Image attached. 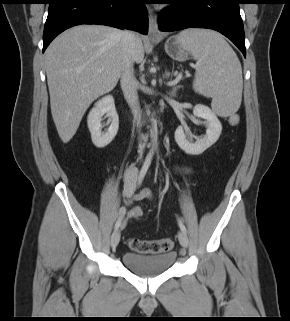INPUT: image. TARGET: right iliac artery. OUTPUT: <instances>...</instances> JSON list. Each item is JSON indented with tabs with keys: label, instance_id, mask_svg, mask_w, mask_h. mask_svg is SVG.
Instances as JSON below:
<instances>
[{
	"label": "right iliac artery",
	"instance_id": "1",
	"mask_svg": "<svg viewBox=\"0 0 290 321\" xmlns=\"http://www.w3.org/2000/svg\"><path fill=\"white\" fill-rule=\"evenodd\" d=\"M152 156L153 154L152 153H149L147 156H146V159L142 165V168L137 176V179H136V183L137 184H140L142 182V180L144 179L149 167H150V164H151V160H152ZM121 221H122V216L120 215L119 219L117 220V222L115 223V227L114 229L117 230L120 225H121Z\"/></svg>",
	"mask_w": 290,
	"mask_h": 321
}]
</instances>
